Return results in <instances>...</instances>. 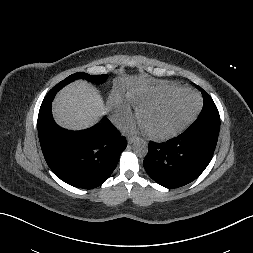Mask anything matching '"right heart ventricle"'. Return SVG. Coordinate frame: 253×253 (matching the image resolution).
Returning a JSON list of instances; mask_svg holds the SVG:
<instances>
[{
    "mask_svg": "<svg viewBox=\"0 0 253 253\" xmlns=\"http://www.w3.org/2000/svg\"><path fill=\"white\" fill-rule=\"evenodd\" d=\"M178 88V85L168 83L140 85L131 88L127 92L126 97L133 106L140 108L141 106L157 100Z\"/></svg>",
    "mask_w": 253,
    "mask_h": 253,
    "instance_id": "1",
    "label": "right heart ventricle"
}]
</instances>
